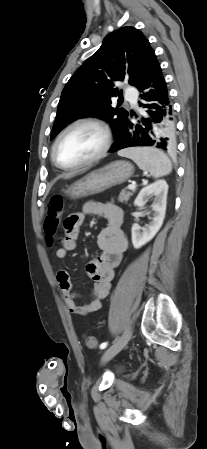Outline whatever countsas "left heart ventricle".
Returning a JSON list of instances; mask_svg holds the SVG:
<instances>
[{
    "label": "left heart ventricle",
    "instance_id": "left-heart-ventricle-1",
    "mask_svg": "<svg viewBox=\"0 0 207 449\" xmlns=\"http://www.w3.org/2000/svg\"><path fill=\"white\" fill-rule=\"evenodd\" d=\"M102 146L101 134L94 128L79 126L67 132L57 147V158L63 165H72L94 156Z\"/></svg>",
    "mask_w": 207,
    "mask_h": 449
}]
</instances>
